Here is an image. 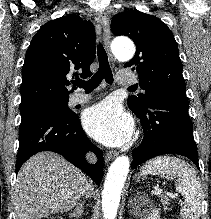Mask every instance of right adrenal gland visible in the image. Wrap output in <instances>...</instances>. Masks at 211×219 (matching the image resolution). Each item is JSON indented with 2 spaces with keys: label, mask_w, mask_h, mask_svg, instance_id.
I'll return each mask as SVG.
<instances>
[{
  "label": "right adrenal gland",
  "mask_w": 211,
  "mask_h": 219,
  "mask_svg": "<svg viewBox=\"0 0 211 219\" xmlns=\"http://www.w3.org/2000/svg\"><path fill=\"white\" fill-rule=\"evenodd\" d=\"M83 215V204L81 203H78L76 208H75V211L73 213H69V217L70 218H79Z\"/></svg>",
  "instance_id": "obj_1"
}]
</instances>
